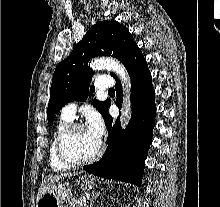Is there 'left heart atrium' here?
I'll return each mask as SVG.
<instances>
[{
  "label": "left heart atrium",
  "mask_w": 220,
  "mask_h": 207,
  "mask_svg": "<svg viewBox=\"0 0 220 207\" xmlns=\"http://www.w3.org/2000/svg\"><path fill=\"white\" fill-rule=\"evenodd\" d=\"M87 130L100 141L102 135L104 134V124L102 119L98 114H93L90 116Z\"/></svg>",
  "instance_id": "obj_1"
}]
</instances>
